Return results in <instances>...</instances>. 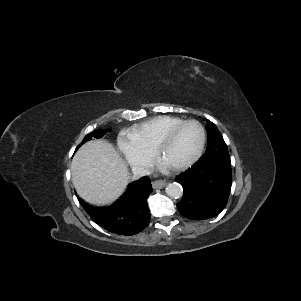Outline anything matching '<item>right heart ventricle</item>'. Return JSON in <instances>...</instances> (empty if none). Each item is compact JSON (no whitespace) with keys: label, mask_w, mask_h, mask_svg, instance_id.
<instances>
[{"label":"right heart ventricle","mask_w":301,"mask_h":301,"mask_svg":"<svg viewBox=\"0 0 301 301\" xmlns=\"http://www.w3.org/2000/svg\"><path fill=\"white\" fill-rule=\"evenodd\" d=\"M183 121L184 119L176 116H156L134 125L128 131V135L144 149L153 152L154 145L158 138Z\"/></svg>","instance_id":"obj_1"}]
</instances>
